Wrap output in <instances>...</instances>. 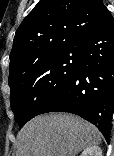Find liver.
<instances>
[{
	"mask_svg": "<svg viewBox=\"0 0 114 156\" xmlns=\"http://www.w3.org/2000/svg\"><path fill=\"white\" fill-rule=\"evenodd\" d=\"M101 137L94 125L72 114L40 115L18 133L16 156H77L98 146Z\"/></svg>",
	"mask_w": 114,
	"mask_h": 156,
	"instance_id": "6515ba94",
	"label": "liver"
}]
</instances>
